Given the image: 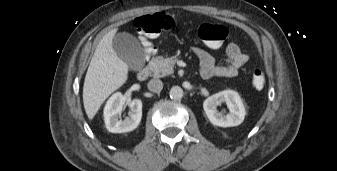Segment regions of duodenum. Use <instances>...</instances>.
<instances>
[{
    "label": "duodenum",
    "mask_w": 337,
    "mask_h": 171,
    "mask_svg": "<svg viewBox=\"0 0 337 171\" xmlns=\"http://www.w3.org/2000/svg\"><path fill=\"white\" fill-rule=\"evenodd\" d=\"M150 75V69L149 67H144L141 70L138 71L137 73V78L140 81H145Z\"/></svg>",
    "instance_id": "410a0bca"
}]
</instances>
